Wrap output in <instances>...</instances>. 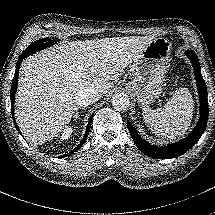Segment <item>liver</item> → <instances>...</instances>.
I'll return each mask as SVG.
<instances>
[{
    "label": "liver",
    "instance_id": "1",
    "mask_svg": "<svg viewBox=\"0 0 215 215\" xmlns=\"http://www.w3.org/2000/svg\"><path fill=\"white\" fill-rule=\"evenodd\" d=\"M153 36H124L64 43L24 60L19 73L16 120L32 145L55 139L77 110L79 90L108 93Z\"/></svg>",
    "mask_w": 215,
    "mask_h": 215
}]
</instances>
